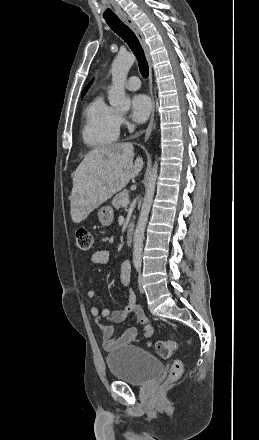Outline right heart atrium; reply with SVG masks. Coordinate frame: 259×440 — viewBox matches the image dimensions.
I'll return each instance as SVG.
<instances>
[{"label":"right heart atrium","instance_id":"d8ad5b80","mask_svg":"<svg viewBox=\"0 0 259 440\" xmlns=\"http://www.w3.org/2000/svg\"><path fill=\"white\" fill-rule=\"evenodd\" d=\"M117 124L120 127H127L128 126V121L127 119L123 116V115H118L117 116Z\"/></svg>","mask_w":259,"mask_h":440}]
</instances>
